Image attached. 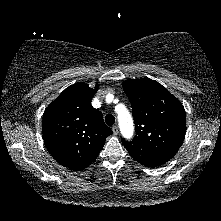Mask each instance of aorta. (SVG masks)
I'll return each instance as SVG.
<instances>
[{
    "instance_id": "aorta-1",
    "label": "aorta",
    "mask_w": 221,
    "mask_h": 221,
    "mask_svg": "<svg viewBox=\"0 0 221 221\" xmlns=\"http://www.w3.org/2000/svg\"><path fill=\"white\" fill-rule=\"evenodd\" d=\"M118 122L122 135L125 138H131L134 133V123L130 112L124 108L118 112Z\"/></svg>"
}]
</instances>
